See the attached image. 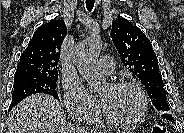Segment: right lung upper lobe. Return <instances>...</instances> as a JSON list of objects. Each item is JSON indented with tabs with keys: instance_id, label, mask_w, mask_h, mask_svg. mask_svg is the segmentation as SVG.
<instances>
[{
	"instance_id": "right-lung-upper-lobe-1",
	"label": "right lung upper lobe",
	"mask_w": 184,
	"mask_h": 133,
	"mask_svg": "<svg viewBox=\"0 0 184 133\" xmlns=\"http://www.w3.org/2000/svg\"><path fill=\"white\" fill-rule=\"evenodd\" d=\"M66 33L63 20H51L40 26L20 57L15 78L58 76L57 65Z\"/></svg>"
}]
</instances>
